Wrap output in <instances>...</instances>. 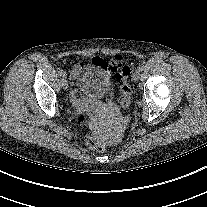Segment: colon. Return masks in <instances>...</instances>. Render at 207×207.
Instances as JSON below:
<instances>
[{
    "instance_id": "obj_1",
    "label": "colon",
    "mask_w": 207,
    "mask_h": 207,
    "mask_svg": "<svg viewBox=\"0 0 207 207\" xmlns=\"http://www.w3.org/2000/svg\"><path fill=\"white\" fill-rule=\"evenodd\" d=\"M104 69L112 74L114 78L121 82L120 104L124 109L130 106L132 89L129 85L128 78L131 74V68L125 63L123 58L115 57L109 61L101 62ZM90 121V117L86 113H81L77 117V124L81 127L86 126ZM86 144L95 151H103L104 144L93 134H86Z\"/></svg>"
}]
</instances>
